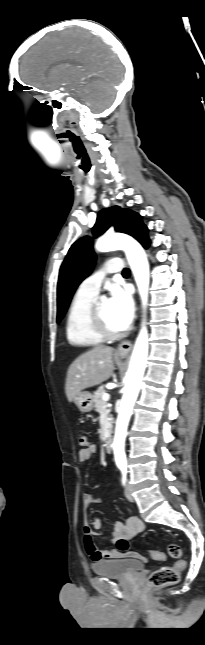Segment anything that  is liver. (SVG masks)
Listing matches in <instances>:
<instances>
[{
    "label": "liver",
    "instance_id": "obj_1",
    "mask_svg": "<svg viewBox=\"0 0 205 645\" xmlns=\"http://www.w3.org/2000/svg\"><path fill=\"white\" fill-rule=\"evenodd\" d=\"M113 351L112 347L99 345L73 361L65 384L69 401L82 390L99 385L111 377L114 370Z\"/></svg>",
    "mask_w": 205,
    "mask_h": 645
}]
</instances>
